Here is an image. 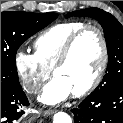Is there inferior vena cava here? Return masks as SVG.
Returning a JSON list of instances; mask_svg holds the SVG:
<instances>
[{
  "instance_id": "602c4592",
  "label": "inferior vena cava",
  "mask_w": 123,
  "mask_h": 123,
  "mask_svg": "<svg viewBox=\"0 0 123 123\" xmlns=\"http://www.w3.org/2000/svg\"><path fill=\"white\" fill-rule=\"evenodd\" d=\"M31 91L32 92H37L38 91V88H36V87L35 88H32Z\"/></svg>"
}]
</instances>
